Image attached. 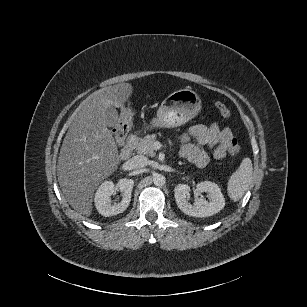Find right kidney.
Returning a JSON list of instances; mask_svg holds the SVG:
<instances>
[{
    "instance_id": "right-kidney-1",
    "label": "right kidney",
    "mask_w": 307,
    "mask_h": 307,
    "mask_svg": "<svg viewBox=\"0 0 307 307\" xmlns=\"http://www.w3.org/2000/svg\"><path fill=\"white\" fill-rule=\"evenodd\" d=\"M119 184L123 198L116 204L110 203V195L115 192V185L112 181L104 180L97 187L94 194V205L101 215L106 217L116 215L129 206L134 182L131 179H121Z\"/></svg>"
}]
</instances>
